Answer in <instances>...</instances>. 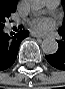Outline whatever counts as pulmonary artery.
Masks as SVG:
<instances>
[{"instance_id":"obj_1","label":"pulmonary artery","mask_w":65,"mask_h":89,"mask_svg":"<svg viewBox=\"0 0 65 89\" xmlns=\"http://www.w3.org/2000/svg\"><path fill=\"white\" fill-rule=\"evenodd\" d=\"M45 6L49 9H54L58 6L59 2L57 0H46L44 2ZM16 23H12V25H15Z\"/></svg>"}]
</instances>
